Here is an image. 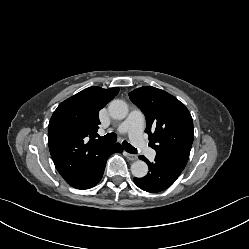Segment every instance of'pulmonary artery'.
Masks as SVG:
<instances>
[{
  "label": "pulmonary artery",
  "instance_id": "e3ab8cb5",
  "mask_svg": "<svg viewBox=\"0 0 249 249\" xmlns=\"http://www.w3.org/2000/svg\"><path fill=\"white\" fill-rule=\"evenodd\" d=\"M144 116L141 112L133 110L130 112L125 121L117 128L119 133H127L130 140L143 151L150 159L154 158L155 151L147 146L143 137Z\"/></svg>",
  "mask_w": 249,
  "mask_h": 249
}]
</instances>
